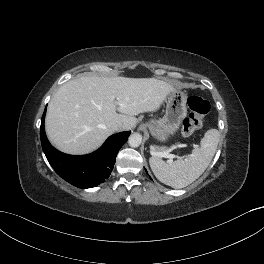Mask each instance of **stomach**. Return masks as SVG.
Masks as SVG:
<instances>
[{
	"instance_id": "1",
	"label": "stomach",
	"mask_w": 264,
	"mask_h": 264,
	"mask_svg": "<svg viewBox=\"0 0 264 264\" xmlns=\"http://www.w3.org/2000/svg\"><path fill=\"white\" fill-rule=\"evenodd\" d=\"M186 103L187 95L180 90L175 89L169 95L164 117L148 124L156 139L166 141L177 132L187 114Z\"/></svg>"
}]
</instances>
